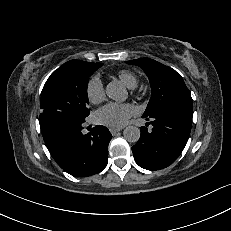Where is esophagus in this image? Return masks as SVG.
<instances>
[{"label": "esophagus", "instance_id": "esophagus-1", "mask_svg": "<svg viewBox=\"0 0 231 231\" xmlns=\"http://www.w3.org/2000/svg\"><path fill=\"white\" fill-rule=\"evenodd\" d=\"M122 129H110V132L112 133V135H116L118 132H120Z\"/></svg>", "mask_w": 231, "mask_h": 231}]
</instances>
